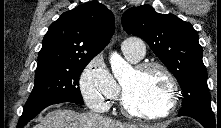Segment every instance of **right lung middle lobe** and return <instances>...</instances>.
<instances>
[{
    "instance_id": "right-lung-middle-lobe-1",
    "label": "right lung middle lobe",
    "mask_w": 221,
    "mask_h": 128,
    "mask_svg": "<svg viewBox=\"0 0 221 128\" xmlns=\"http://www.w3.org/2000/svg\"><path fill=\"white\" fill-rule=\"evenodd\" d=\"M91 60H77L64 66L36 70L34 88L24 109L52 100H67L82 105L79 77Z\"/></svg>"
}]
</instances>
